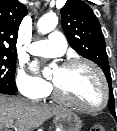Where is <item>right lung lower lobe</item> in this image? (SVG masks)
Here are the masks:
<instances>
[{
    "mask_svg": "<svg viewBox=\"0 0 117 131\" xmlns=\"http://www.w3.org/2000/svg\"><path fill=\"white\" fill-rule=\"evenodd\" d=\"M0 93L9 94L8 92H5V91H3V90H0Z\"/></svg>",
    "mask_w": 117,
    "mask_h": 131,
    "instance_id": "98d812e1",
    "label": "right lung lower lobe"
}]
</instances>
